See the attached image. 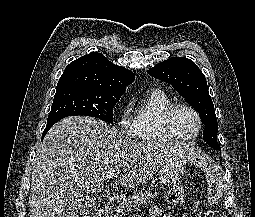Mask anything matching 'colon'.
<instances>
[{"instance_id":"5ec220e1","label":"colon","mask_w":255,"mask_h":217,"mask_svg":"<svg viewBox=\"0 0 255 217\" xmlns=\"http://www.w3.org/2000/svg\"><path fill=\"white\" fill-rule=\"evenodd\" d=\"M186 191L180 184H174L169 190V200L172 203H181L185 200ZM208 201L212 206H216L220 199V189L215 183H210L207 190Z\"/></svg>"}]
</instances>
